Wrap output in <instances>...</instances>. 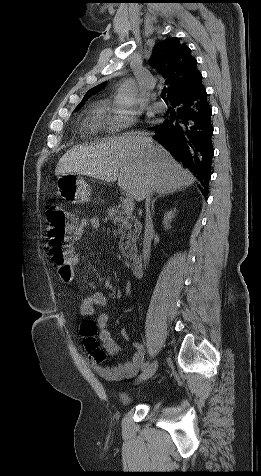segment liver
I'll return each instance as SVG.
<instances>
[{"label":"liver","instance_id":"obj_1","mask_svg":"<svg viewBox=\"0 0 261 476\" xmlns=\"http://www.w3.org/2000/svg\"><path fill=\"white\" fill-rule=\"evenodd\" d=\"M81 174L118 186L136 201H142L144 190L160 194L173 193L195 182L148 132L132 130L100 143L75 147L59 160L55 174Z\"/></svg>","mask_w":261,"mask_h":476}]
</instances>
